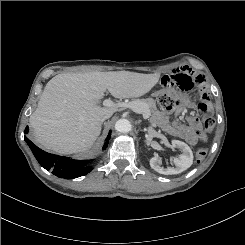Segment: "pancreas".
I'll return each mask as SVG.
<instances>
[{"label":"pancreas","mask_w":245,"mask_h":245,"mask_svg":"<svg viewBox=\"0 0 245 245\" xmlns=\"http://www.w3.org/2000/svg\"><path fill=\"white\" fill-rule=\"evenodd\" d=\"M129 103L136 104L137 109H135L134 111L137 113H143L146 109H148L150 113L156 110V104L152 98L135 99L134 101L129 102Z\"/></svg>","instance_id":"obj_1"}]
</instances>
